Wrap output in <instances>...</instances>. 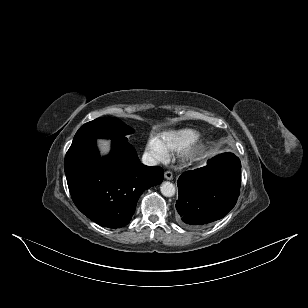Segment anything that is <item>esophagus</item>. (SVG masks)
I'll return each instance as SVG.
<instances>
[{"label":"esophagus","mask_w":308,"mask_h":308,"mask_svg":"<svg viewBox=\"0 0 308 308\" xmlns=\"http://www.w3.org/2000/svg\"><path fill=\"white\" fill-rule=\"evenodd\" d=\"M164 177H165V179H167V180H172V179H173V173H172L171 171H166V172L164 173Z\"/></svg>","instance_id":"esophagus-1"}]
</instances>
